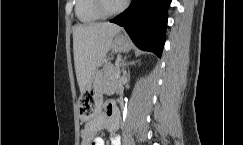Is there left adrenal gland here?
<instances>
[{"mask_svg":"<svg viewBox=\"0 0 243 145\" xmlns=\"http://www.w3.org/2000/svg\"><path fill=\"white\" fill-rule=\"evenodd\" d=\"M135 62H131V63H125L124 65H123V69L122 70H124V68L127 66V65H129V64H134Z\"/></svg>","mask_w":243,"mask_h":145,"instance_id":"left-adrenal-gland-1","label":"left adrenal gland"}]
</instances>
